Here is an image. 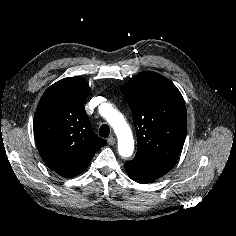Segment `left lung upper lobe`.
Returning <instances> with one entry per match:
<instances>
[{
	"mask_svg": "<svg viewBox=\"0 0 236 236\" xmlns=\"http://www.w3.org/2000/svg\"><path fill=\"white\" fill-rule=\"evenodd\" d=\"M133 114L137 153L176 163L187 130L184 99L166 77L142 72L124 87Z\"/></svg>",
	"mask_w": 236,
	"mask_h": 236,
	"instance_id": "5c2ea615",
	"label": "left lung upper lobe"
}]
</instances>
